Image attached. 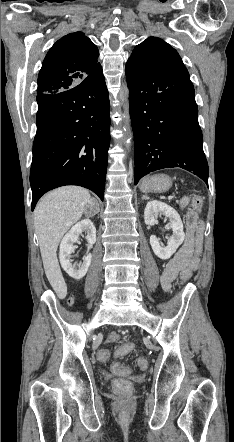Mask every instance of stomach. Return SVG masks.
Returning a JSON list of instances; mask_svg holds the SVG:
<instances>
[{
  "instance_id": "stomach-1",
  "label": "stomach",
  "mask_w": 234,
  "mask_h": 442,
  "mask_svg": "<svg viewBox=\"0 0 234 442\" xmlns=\"http://www.w3.org/2000/svg\"><path fill=\"white\" fill-rule=\"evenodd\" d=\"M172 185V180L168 175L157 174L145 178L140 184L142 192H165L169 190Z\"/></svg>"
}]
</instances>
